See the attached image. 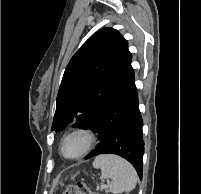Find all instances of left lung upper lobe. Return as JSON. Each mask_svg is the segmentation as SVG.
Returning a JSON list of instances; mask_svg holds the SVG:
<instances>
[{
  "mask_svg": "<svg viewBox=\"0 0 201 194\" xmlns=\"http://www.w3.org/2000/svg\"><path fill=\"white\" fill-rule=\"evenodd\" d=\"M131 60L128 43L117 30L103 28L91 36L66 67L52 131L68 125L86 129L131 71Z\"/></svg>",
  "mask_w": 201,
  "mask_h": 194,
  "instance_id": "1",
  "label": "left lung upper lobe"
}]
</instances>
